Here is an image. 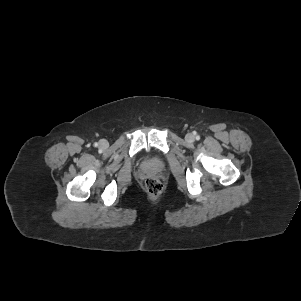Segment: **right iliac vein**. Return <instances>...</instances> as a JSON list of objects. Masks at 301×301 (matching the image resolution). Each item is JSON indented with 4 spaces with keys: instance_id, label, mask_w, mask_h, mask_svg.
Instances as JSON below:
<instances>
[{
    "instance_id": "1",
    "label": "right iliac vein",
    "mask_w": 301,
    "mask_h": 301,
    "mask_svg": "<svg viewBox=\"0 0 301 301\" xmlns=\"http://www.w3.org/2000/svg\"><path fill=\"white\" fill-rule=\"evenodd\" d=\"M107 145H108V143H107L106 140H101V141L99 142V146H100L101 148H106Z\"/></svg>"
}]
</instances>
